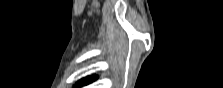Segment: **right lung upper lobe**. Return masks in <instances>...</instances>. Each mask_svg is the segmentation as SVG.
I'll list each match as a JSON object with an SVG mask.
<instances>
[{
	"mask_svg": "<svg viewBox=\"0 0 223 88\" xmlns=\"http://www.w3.org/2000/svg\"><path fill=\"white\" fill-rule=\"evenodd\" d=\"M96 78H97L96 76H91V77L82 79L81 81H79V82L77 83V86H83V85H86V84H88V83H91V82H93Z\"/></svg>",
	"mask_w": 223,
	"mask_h": 88,
	"instance_id": "obj_1",
	"label": "right lung upper lobe"
}]
</instances>
